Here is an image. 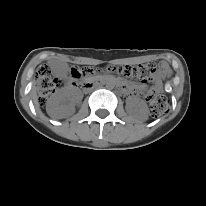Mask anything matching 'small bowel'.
I'll list each match as a JSON object with an SVG mask.
<instances>
[{"label":"small bowel","instance_id":"small-bowel-1","mask_svg":"<svg viewBox=\"0 0 206 206\" xmlns=\"http://www.w3.org/2000/svg\"><path fill=\"white\" fill-rule=\"evenodd\" d=\"M160 72L158 73V75L156 76L157 81L159 82V78L161 76V74L167 73L168 72V66L166 63L162 62L160 65Z\"/></svg>","mask_w":206,"mask_h":206}]
</instances>
